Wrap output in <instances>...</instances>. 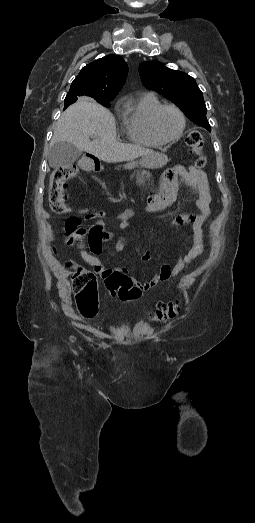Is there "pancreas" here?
<instances>
[{"label":"pancreas","mask_w":255,"mask_h":523,"mask_svg":"<svg viewBox=\"0 0 255 523\" xmlns=\"http://www.w3.org/2000/svg\"><path fill=\"white\" fill-rule=\"evenodd\" d=\"M136 174H137V180H136V184H146V180H149V178H151V174H149V172H146V170H142V172H139V170H135ZM131 178H133V176H131Z\"/></svg>","instance_id":"pancreas-1"}]
</instances>
